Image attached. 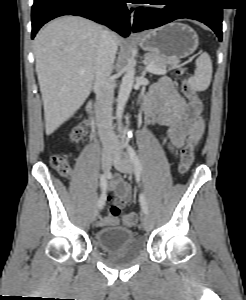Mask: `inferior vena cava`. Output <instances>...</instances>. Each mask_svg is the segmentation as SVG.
Returning <instances> with one entry per match:
<instances>
[{"label": "inferior vena cava", "mask_w": 246, "mask_h": 300, "mask_svg": "<svg viewBox=\"0 0 246 300\" xmlns=\"http://www.w3.org/2000/svg\"><path fill=\"white\" fill-rule=\"evenodd\" d=\"M116 51L117 45L112 35L109 31L103 30L99 37L96 56L94 91L96 122L105 152L112 150L118 144L112 128L115 81L111 73Z\"/></svg>", "instance_id": "602c4592"}]
</instances>
